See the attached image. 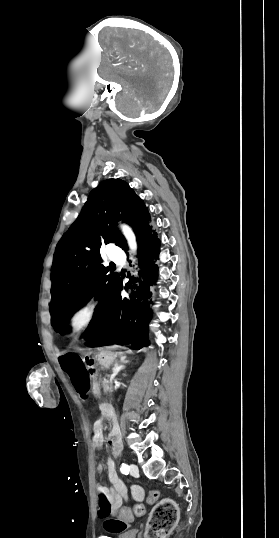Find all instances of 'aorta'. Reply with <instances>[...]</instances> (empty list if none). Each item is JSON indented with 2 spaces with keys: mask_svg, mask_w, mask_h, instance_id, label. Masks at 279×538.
Here are the masks:
<instances>
[{
  "mask_svg": "<svg viewBox=\"0 0 279 538\" xmlns=\"http://www.w3.org/2000/svg\"><path fill=\"white\" fill-rule=\"evenodd\" d=\"M122 228V232L128 242V245H129V248L130 250L135 253L136 252V249H137V243H136V237L133 233V231L131 230V228L127 225H122L121 226Z\"/></svg>",
  "mask_w": 279,
  "mask_h": 538,
  "instance_id": "762f6f07",
  "label": "aorta"
}]
</instances>
